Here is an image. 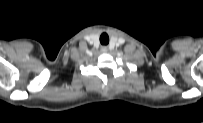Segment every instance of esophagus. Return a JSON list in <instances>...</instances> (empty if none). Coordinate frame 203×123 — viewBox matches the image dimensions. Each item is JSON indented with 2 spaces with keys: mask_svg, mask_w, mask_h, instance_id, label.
<instances>
[{
  "mask_svg": "<svg viewBox=\"0 0 203 123\" xmlns=\"http://www.w3.org/2000/svg\"><path fill=\"white\" fill-rule=\"evenodd\" d=\"M102 51H103V52H106V47L102 48Z\"/></svg>",
  "mask_w": 203,
  "mask_h": 123,
  "instance_id": "34e87169",
  "label": "esophagus"
}]
</instances>
